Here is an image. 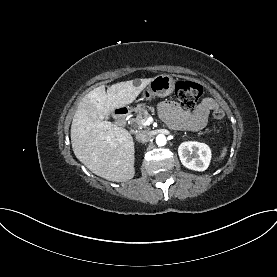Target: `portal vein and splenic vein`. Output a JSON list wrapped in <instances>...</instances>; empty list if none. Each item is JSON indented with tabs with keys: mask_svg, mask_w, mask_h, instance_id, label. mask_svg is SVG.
I'll return each instance as SVG.
<instances>
[{
	"mask_svg": "<svg viewBox=\"0 0 277 277\" xmlns=\"http://www.w3.org/2000/svg\"><path fill=\"white\" fill-rule=\"evenodd\" d=\"M152 117H148L144 122H143V125L144 126H147V125H149L151 122H152Z\"/></svg>",
	"mask_w": 277,
	"mask_h": 277,
	"instance_id": "portal-vein-and-splenic-vein-1",
	"label": "portal vein and splenic vein"
}]
</instances>
